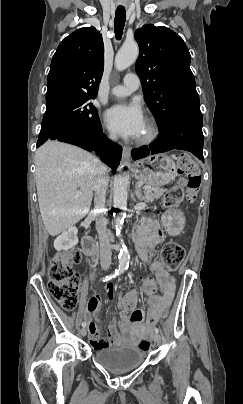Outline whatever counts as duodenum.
Wrapping results in <instances>:
<instances>
[{"instance_id": "1", "label": "duodenum", "mask_w": 243, "mask_h": 404, "mask_svg": "<svg viewBox=\"0 0 243 404\" xmlns=\"http://www.w3.org/2000/svg\"><path fill=\"white\" fill-rule=\"evenodd\" d=\"M82 249L86 255L91 257L96 256V247L94 241L88 235H85L82 238Z\"/></svg>"}]
</instances>
